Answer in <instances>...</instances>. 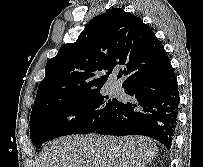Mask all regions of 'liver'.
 <instances>
[{
    "label": "liver",
    "instance_id": "6515ba94",
    "mask_svg": "<svg viewBox=\"0 0 203 167\" xmlns=\"http://www.w3.org/2000/svg\"><path fill=\"white\" fill-rule=\"evenodd\" d=\"M158 154L152 140L139 136H67L45 146L37 167H146Z\"/></svg>",
    "mask_w": 203,
    "mask_h": 167
}]
</instances>
